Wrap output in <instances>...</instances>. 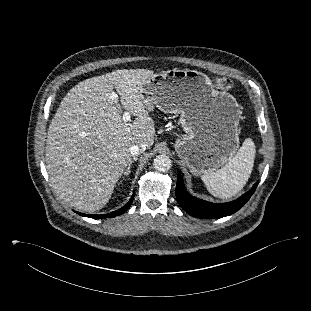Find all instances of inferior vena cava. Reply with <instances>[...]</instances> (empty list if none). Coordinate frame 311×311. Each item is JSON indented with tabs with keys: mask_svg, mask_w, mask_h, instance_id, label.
Returning a JSON list of instances; mask_svg holds the SVG:
<instances>
[{
	"mask_svg": "<svg viewBox=\"0 0 311 311\" xmlns=\"http://www.w3.org/2000/svg\"><path fill=\"white\" fill-rule=\"evenodd\" d=\"M146 149V144H141V145H132L130 147V153L133 156H138L140 155L143 151Z\"/></svg>",
	"mask_w": 311,
	"mask_h": 311,
	"instance_id": "1",
	"label": "inferior vena cava"
}]
</instances>
